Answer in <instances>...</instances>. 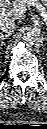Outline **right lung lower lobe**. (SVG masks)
<instances>
[{
    "mask_svg": "<svg viewBox=\"0 0 47 129\" xmlns=\"http://www.w3.org/2000/svg\"><path fill=\"white\" fill-rule=\"evenodd\" d=\"M7 73V72H6ZM6 73L3 75V77L0 79V82L4 79V77H5V75H6Z\"/></svg>",
    "mask_w": 47,
    "mask_h": 129,
    "instance_id": "1",
    "label": "right lung lower lobe"
}]
</instances>
